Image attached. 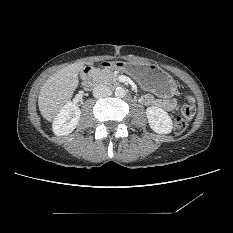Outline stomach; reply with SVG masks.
I'll return each mask as SVG.
<instances>
[{"instance_id":"stomach-1","label":"stomach","mask_w":233,"mask_h":233,"mask_svg":"<svg viewBox=\"0 0 233 233\" xmlns=\"http://www.w3.org/2000/svg\"><path fill=\"white\" fill-rule=\"evenodd\" d=\"M113 66L115 69L130 75L143 88L152 91L160 97H171L176 93V82L158 65L116 61L113 63Z\"/></svg>"}]
</instances>
